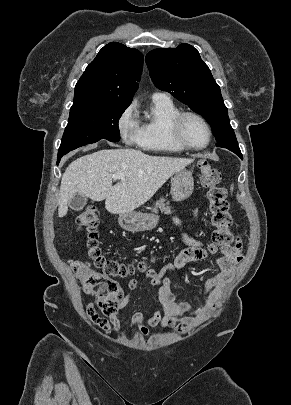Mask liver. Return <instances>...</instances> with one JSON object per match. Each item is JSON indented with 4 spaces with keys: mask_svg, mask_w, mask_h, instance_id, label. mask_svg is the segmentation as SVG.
<instances>
[{
    "mask_svg": "<svg viewBox=\"0 0 291 405\" xmlns=\"http://www.w3.org/2000/svg\"><path fill=\"white\" fill-rule=\"evenodd\" d=\"M192 159L150 156L133 149H105L73 161L65 170L58 198V215L64 217L77 194L105 200L112 214L133 211L147 202L176 172ZM124 179L112 186V176Z\"/></svg>",
    "mask_w": 291,
    "mask_h": 405,
    "instance_id": "1",
    "label": "liver"
}]
</instances>
